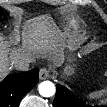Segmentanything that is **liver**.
I'll return each mask as SVG.
<instances>
[{
    "mask_svg": "<svg viewBox=\"0 0 107 107\" xmlns=\"http://www.w3.org/2000/svg\"><path fill=\"white\" fill-rule=\"evenodd\" d=\"M48 23H49L48 16H43V17H39L38 19H33L22 31V35H20L21 34L20 25L18 24L16 26V29L14 32L15 38L20 40L21 36H22L24 43L21 47H19L15 51L13 59L31 55V52L33 51V48L29 44V36H30L31 31H33L34 29H37L39 27L45 26ZM7 66H8V51L6 49V46L1 44V46H0V73H1V76L5 75L8 72Z\"/></svg>",
    "mask_w": 107,
    "mask_h": 107,
    "instance_id": "liver-1",
    "label": "liver"
}]
</instances>
